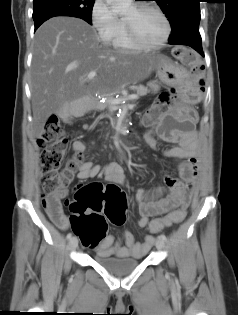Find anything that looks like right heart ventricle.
Returning a JSON list of instances; mask_svg holds the SVG:
<instances>
[{
	"mask_svg": "<svg viewBox=\"0 0 238 315\" xmlns=\"http://www.w3.org/2000/svg\"><path fill=\"white\" fill-rule=\"evenodd\" d=\"M108 43L114 49L123 53H129L138 50L128 40L124 19L119 20V26Z\"/></svg>",
	"mask_w": 238,
	"mask_h": 315,
	"instance_id": "right-heart-ventricle-1",
	"label": "right heart ventricle"
}]
</instances>
